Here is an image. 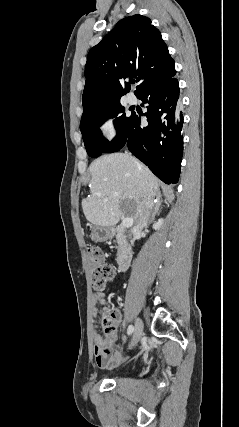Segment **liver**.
Returning <instances> with one entry per match:
<instances>
[{"mask_svg": "<svg viewBox=\"0 0 239 427\" xmlns=\"http://www.w3.org/2000/svg\"><path fill=\"white\" fill-rule=\"evenodd\" d=\"M90 196L82 200L86 219L96 225L113 227L124 216L142 221L147 209L154 206L153 196L159 189V180L128 153L101 156L89 166ZM134 203L130 212L122 209V201Z\"/></svg>", "mask_w": 239, "mask_h": 427, "instance_id": "6515ba94", "label": "liver"}]
</instances>
